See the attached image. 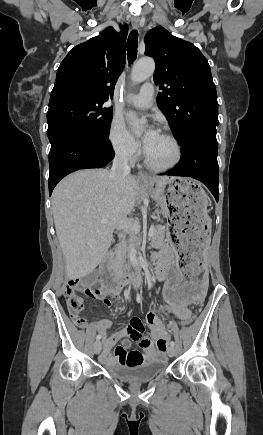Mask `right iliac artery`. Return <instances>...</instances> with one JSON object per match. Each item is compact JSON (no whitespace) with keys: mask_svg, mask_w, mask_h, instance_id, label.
Returning <instances> with one entry per match:
<instances>
[{"mask_svg":"<svg viewBox=\"0 0 263 435\" xmlns=\"http://www.w3.org/2000/svg\"><path fill=\"white\" fill-rule=\"evenodd\" d=\"M100 339H101V335L98 334V335L96 336V340L99 341Z\"/></svg>","mask_w":263,"mask_h":435,"instance_id":"1","label":"right iliac artery"}]
</instances>
